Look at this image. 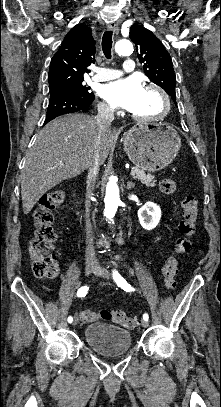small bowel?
Instances as JSON below:
<instances>
[{"mask_svg":"<svg viewBox=\"0 0 221 407\" xmlns=\"http://www.w3.org/2000/svg\"><path fill=\"white\" fill-rule=\"evenodd\" d=\"M45 289L50 290L48 287L44 286Z\"/></svg>","mask_w":221,"mask_h":407,"instance_id":"c3829d8e","label":"small bowel"}]
</instances>
